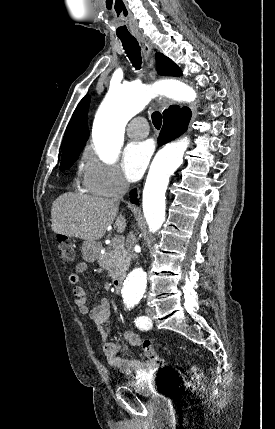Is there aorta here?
<instances>
[{
	"label": "aorta",
	"instance_id": "aorta-1",
	"mask_svg": "<svg viewBox=\"0 0 275 429\" xmlns=\"http://www.w3.org/2000/svg\"><path fill=\"white\" fill-rule=\"evenodd\" d=\"M155 87L130 83L112 86L102 102L93 125V142L100 158L112 162L124 140L127 122L142 111L155 95ZM163 91L171 98L192 102L195 91L181 82L163 84ZM189 144L187 137L167 144L158 153L148 173L143 190V212L151 232L159 230L165 220V193L170 176L183 161ZM147 276L142 268H135L126 277L122 297L125 303L139 300L146 289Z\"/></svg>",
	"mask_w": 275,
	"mask_h": 429
}]
</instances>
